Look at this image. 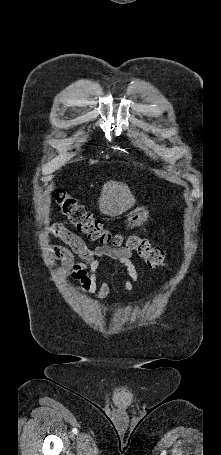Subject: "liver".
I'll return each instance as SVG.
<instances>
[{
  "label": "liver",
  "mask_w": 221,
  "mask_h": 455,
  "mask_svg": "<svg viewBox=\"0 0 221 455\" xmlns=\"http://www.w3.org/2000/svg\"><path fill=\"white\" fill-rule=\"evenodd\" d=\"M135 202L128 185L112 180L104 183L98 200L101 213L111 217L126 212Z\"/></svg>",
  "instance_id": "1"
}]
</instances>
